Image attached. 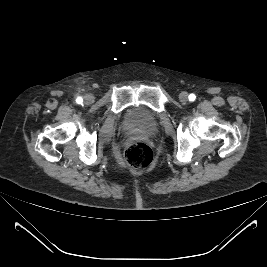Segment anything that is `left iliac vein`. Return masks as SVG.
Returning <instances> with one entry per match:
<instances>
[{
    "mask_svg": "<svg viewBox=\"0 0 267 267\" xmlns=\"http://www.w3.org/2000/svg\"><path fill=\"white\" fill-rule=\"evenodd\" d=\"M179 99L182 103H186L189 99L187 92H181L179 95Z\"/></svg>",
    "mask_w": 267,
    "mask_h": 267,
    "instance_id": "4c4485c4",
    "label": "left iliac vein"
}]
</instances>
